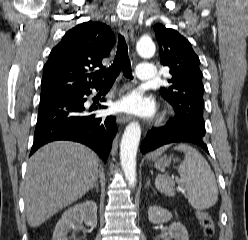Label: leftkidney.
<instances>
[{
	"mask_svg": "<svg viewBox=\"0 0 248 240\" xmlns=\"http://www.w3.org/2000/svg\"><path fill=\"white\" fill-rule=\"evenodd\" d=\"M148 218L151 223L159 224L170 221L172 214L161 207L151 206L148 209ZM168 232L171 239L189 240L186 228L179 222L172 223L169 226Z\"/></svg>",
	"mask_w": 248,
	"mask_h": 240,
	"instance_id": "left-kidney-1",
	"label": "left kidney"
}]
</instances>
